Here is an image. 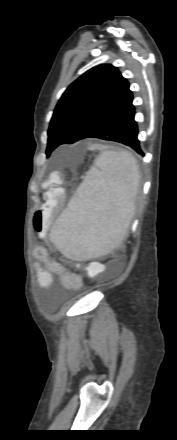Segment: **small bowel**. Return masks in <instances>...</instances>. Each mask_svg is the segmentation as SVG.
Returning <instances> with one entry per match:
<instances>
[{"mask_svg":"<svg viewBox=\"0 0 177 440\" xmlns=\"http://www.w3.org/2000/svg\"><path fill=\"white\" fill-rule=\"evenodd\" d=\"M39 233L42 232L38 231ZM35 257L41 261L45 268H41L37 264V277L39 285L44 289H49L53 284V276L59 277L61 284L65 288L79 289L82 286L81 278L78 276H71L70 273L65 271L64 267L58 261L51 259L48 256V252L45 247L37 246L34 250Z\"/></svg>","mask_w":177,"mask_h":440,"instance_id":"1","label":"small bowel"}]
</instances>
